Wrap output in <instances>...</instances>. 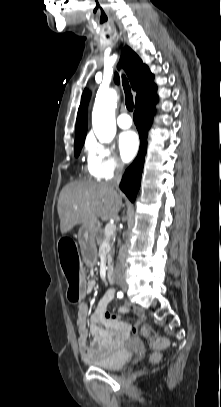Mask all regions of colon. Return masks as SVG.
<instances>
[{"label":"colon","mask_w":221,"mask_h":407,"mask_svg":"<svg viewBox=\"0 0 221 407\" xmlns=\"http://www.w3.org/2000/svg\"><path fill=\"white\" fill-rule=\"evenodd\" d=\"M59 254L61 266L69 284L68 304L70 306H78L84 294L81 291L83 281L80 272L79 258L73 241L68 238L62 239L59 243ZM141 333L149 346L156 351L151 355V361L157 362L160 359L159 351L168 346V340L156 337L148 325L142 327Z\"/></svg>","instance_id":"5ec220e1"}]
</instances>
